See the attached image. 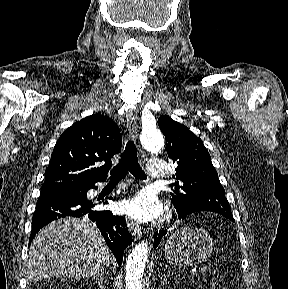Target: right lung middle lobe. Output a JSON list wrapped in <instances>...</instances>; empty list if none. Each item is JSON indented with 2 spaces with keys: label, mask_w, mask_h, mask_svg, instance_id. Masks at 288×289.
I'll return each mask as SVG.
<instances>
[{
  "label": "right lung middle lobe",
  "mask_w": 288,
  "mask_h": 289,
  "mask_svg": "<svg viewBox=\"0 0 288 289\" xmlns=\"http://www.w3.org/2000/svg\"><path fill=\"white\" fill-rule=\"evenodd\" d=\"M81 188L59 189V190H41L40 197H55L64 194H81Z\"/></svg>",
  "instance_id": "obj_1"
}]
</instances>
